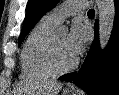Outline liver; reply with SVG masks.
Returning a JSON list of instances; mask_svg holds the SVG:
<instances>
[{
  "label": "liver",
  "instance_id": "liver-1",
  "mask_svg": "<svg viewBox=\"0 0 119 95\" xmlns=\"http://www.w3.org/2000/svg\"><path fill=\"white\" fill-rule=\"evenodd\" d=\"M62 88V83L54 80L35 82L33 84L22 83L14 95H21L23 91L27 95H57Z\"/></svg>",
  "mask_w": 119,
  "mask_h": 95
}]
</instances>
